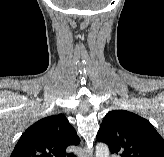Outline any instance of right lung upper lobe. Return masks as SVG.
Returning <instances> with one entry per match:
<instances>
[{"label": "right lung upper lobe", "mask_w": 164, "mask_h": 157, "mask_svg": "<svg viewBox=\"0 0 164 157\" xmlns=\"http://www.w3.org/2000/svg\"><path fill=\"white\" fill-rule=\"evenodd\" d=\"M79 143L80 138L65 115H52L30 126L10 157H75L66 149Z\"/></svg>", "instance_id": "cb5924a9"}]
</instances>
